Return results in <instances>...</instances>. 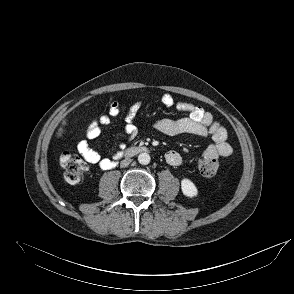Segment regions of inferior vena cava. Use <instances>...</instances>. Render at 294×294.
Listing matches in <instances>:
<instances>
[{
  "instance_id": "1",
  "label": "inferior vena cava",
  "mask_w": 294,
  "mask_h": 294,
  "mask_svg": "<svg viewBox=\"0 0 294 294\" xmlns=\"http://www.w3.org/2000/svg\"><path fill=\"white\" fill-rule=\"evenodd\" d=\"M131 159H125L121 162V167H126L131 163Z\"/></svg>"
}]
</instances>
